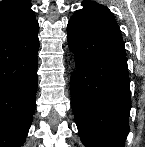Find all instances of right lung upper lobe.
Instances as JSON below:
<instances>
[{
  "label": "right lung upper lobe",
  "instance_id": "obj_1",
  "mask_svg": "<svg viewBox=\"0 0 145 147\" xmlns=\"http://www.w3.org/2000/svg\"><path fill=\"white\" fill-rule=\"evenodd\" d=\"M31 6L29 0L0 2V41L38 24Z\"/></svg>",
  "mask_w": 145,
  "mask_h": 147
}]
</instances>
